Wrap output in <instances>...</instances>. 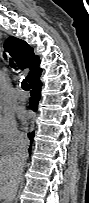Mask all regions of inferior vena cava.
I'll list each match as a JSON object with an SVG mask.
<instances>
[{"mask_svg":"<svg viewBox=\"0 0 89 203\" xmlns=\"http://www.w3.org/2000/svg\"><path fill=\"white\" fill-rule=\"evenodd\" d=\"M28 147H29V140L27 137L18 138L17 149L15 151L14 158L18 162L17 170L19 173V178L17 180V186L15 188V191H17L18 183L20 182L23 168H24L25 162H26L27 157H28Z\"/></svg>","mask_w":89,"mask_h":203,"instance_id":"602c4592","label":"inferior vena cava"}]
</instances>
